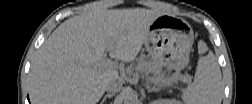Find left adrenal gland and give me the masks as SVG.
I'll use <instances>...</instances> for the list:
<instances>
[{"instance_id":"obj_1","label":"left adrenal gland","mask_w":252,"mask_h":104,"mask_svg":"<svg viewBox=\"0 0 252 104\" xmlns=\"http://www.w3.org/2000/svg\"><path fill=\"white\" fill-rule=\"evenodd\" d=\"M147 91L148 92H152V91H155V92H158L161 90V87L160 86H153V87H150L149 83L147 84Z\"/></svg>"}]
</instances>
